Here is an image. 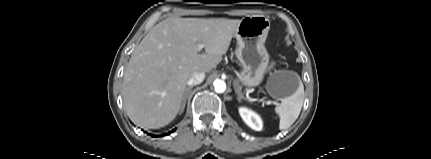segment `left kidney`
<instances>
[{
	"label": "left kidney",
	"instance_id": "obj_1",
	"mask_svg": "<svg viewBox=\"0 0 431 159\" xmlns=\"http://www.w3.org/2000/svg\"><path fill=\"white\" fill-rule=\"evenodd\" d=\"M239 114L241 116V118L243 119V121L253 130L256 131H261L262 127H263V123L261 118L259 117L258 114H256L255 112L245 108V107H240L239 108Z\"/></svg>",
	"mask_w": 431,
	"mask_h": 159
}]
</instances>
